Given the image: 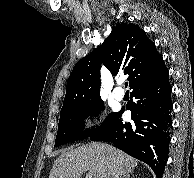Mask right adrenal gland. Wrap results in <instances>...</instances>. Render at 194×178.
<instances>
[{"mask_svg":"<svg viewBox=\"0 0 194 178\" xmlns=\"http://www.w3.org/2000/svg\"><path fill=\"white\" fill-rule=\"evenodd\" d=\"M122 178H130V175L128 174V175H125L124 177H122Z\"/></svg>","mask_w":194,"mask_h":178,"instance_id":"1","label":"right adrenal gland"}]
</instances>
